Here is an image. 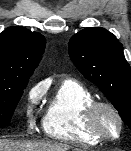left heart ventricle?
<instances>
[{
  "mask_svg": "<svg viewBox=\"0 0 131 151\" xmlns=\"http://www.w3.org/2000/svg\"><path fill=\"white\" fill-rule=\"evenodd\" d=\"M100 128L108 135H115L118 132V122L108 111L103 110L98 117Z\"/></svg>",
  "mask_w": 131,
  "mask_h": 151,
  "instance_id": "b2bd125f",
  "label": "left heart ventricle"
}]
</instances>
